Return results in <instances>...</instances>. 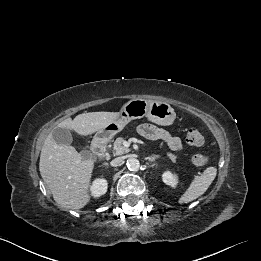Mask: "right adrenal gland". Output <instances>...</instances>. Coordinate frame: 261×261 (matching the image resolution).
Instances as JSON below:
<instances>
[{
	"instance_id": "right-adrenal-gland-1",
	"label": "right adrenal gland",
	"mask_w": 261,
	"mask_h": 261,
	"mask_svg": "<svg viewBox=\"0 0 261 261\" xmlns=\"http://www.w3.org/2000/svg\"><path fill=\"white\" fill-rule=\"evenodd\" d=\"M103 165H106V166H108V165H107V163H105V164H103Z\"/></svg>"
}]
</instances>
